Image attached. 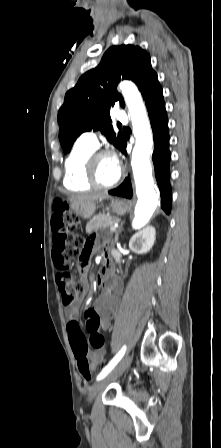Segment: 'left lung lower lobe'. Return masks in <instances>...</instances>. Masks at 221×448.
I'll list each match as a JSON object with an SVG mask.
<instances>
[{"label": "left lung lower lobe", "mask_w": 221, "mask_h": 448, "mask_svg": "<svg viewBox=\"0 0 221 448\" xmlns=\"http://www.w3.org/2000/svg\"><path fill=\"white\" fill-rule=\"evenodd\" d=\"M144 100L154 136V152L152 155V160L154 163L156 180L161 194V208L167 214H170L172 194L169 183V162L171 153L169 151L168 119L162 88L158 87L153 89L146 94ZM126 145L127 143L125 140L120 149L125 155ZM109 194L132 198L133 193L130 178H126L124 182L116 189L110 190Z\"/></svg>", "instance_id": "obj_1"}]
</instances>
